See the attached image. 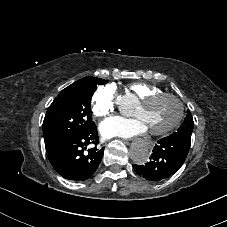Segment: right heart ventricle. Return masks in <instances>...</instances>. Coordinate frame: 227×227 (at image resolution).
Instances as JSON below:
<instances>
[{
	"label": "right heart ventricle",
	"mask_w": 227,
	"mask_h": 227,
	"mask_svg": "<svg viewBox=\"0 0 227 227\" xmlns=\"http://www.w3.org/2000/svg\"><path fill=\"white\" fill-rule=\"evenodd\" d=\"M127 89L129 94L135 95L138 99L142 98L143 96L162 91L160 87L146 83L144 81L132 82L127 86Z\"/></svg>",
	"instance_id": "1"
}]
</instances>
